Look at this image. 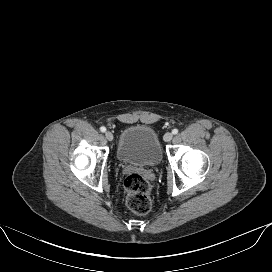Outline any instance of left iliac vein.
Instances as JSON below:
<instances>
[{
	"label": "left iliac vein",
	"instance_id": "obj_1",
	"mask_svg": "<svg viewBox=\"0 0 272 272\" xmlns=\"http://www.w3.org/2000/svg\"><path fill=\"white\" fill-rule=\"evenodd\" d=\"M163 138H164V141H165V142H169V141L172 140L173 134H172L171 132H167V133L164 135Z\"/></svg>",
	"mask_w": 272,
	"mask_h": 272
}]
</instances>
